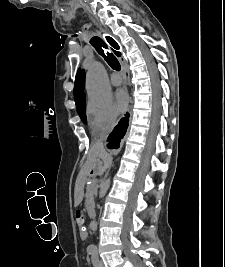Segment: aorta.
<instances>
[{"label": "aorta", "instance_id": "1", "mask_svg": "<svg viewBox=\"0 0 225 267\" xmlns=\"http://www.w3.org/2000/svg\"><path fill=\"white\" fill-rule=\"evenodd\" d=\"M86 88L90 103L98 106L106 105L110 102L112 94L107 82L106 71L102 64H92L86 75ZM110 179H103L99 186V198H104L109 187Z\"/></svg>", "mask_w": 225, "mask_h": 267}]
</instances>
